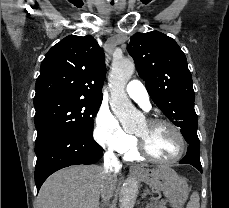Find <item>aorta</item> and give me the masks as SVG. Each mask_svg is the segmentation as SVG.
<instances>
[{
	"label": "aorta",
	"instance_id": "obj_1",
	"mask_svg": "<svg viewBox=\"0 0 229 208\" xmlns=\"http://www.w3.org/2000/svg\"><path fill=\"white\" fill-rule=\"evenodd\" d=\"M135 70L133 61L120 60L113 62L109 75L111 108L123 128L131 130L143 120L140 113L128 98L125 87ZM138 194V183L135 179H127L120 192V208H133Z\"/></svg>",
	"mask_w": 229,
	"mask_h": 208
}]
</instances>
